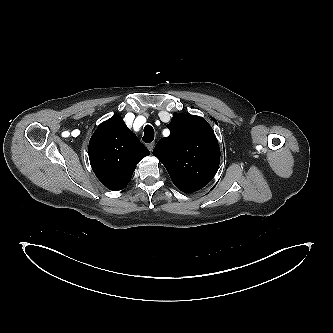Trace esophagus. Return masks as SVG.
Segmentation results:
<instances>
[{
  "label": "esophagus",
  "mask_w": 333,
  "mask_h": 333,
  "mask_svg": "<svg viewBox=\"0 0 333 333\" xmlns=\"http://www.w3.org/2000/svg\"><path fill=\"white\" fill-rule=\"evenodd\" d=\"M154 146H155V143L152 142V143H149V144L147 145V148L149 149L150 152H152L153 149H154Z\"/></svg>",
  "instance_id": "1"
}]
</instances>
